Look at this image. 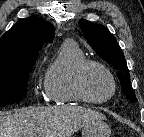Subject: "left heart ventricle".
I'll list each match as a JSON object with an SVG mask.
<instances>
[{"label":"left heart ventricle","instance_id":"1","mask_svg":"<svg viewBox=\"0 0 144 137\" xmlns=\"http://www.w3.org/2000/svg\"><path fill=\"white\" fill-rule=\"evenodd\" d=\"M83 85L86 93L94 99L107 97L112 90L110 79L97 67H91L86 71Z\"/></svg>","mask_w":144,"mask_h":137}]
</instances>
